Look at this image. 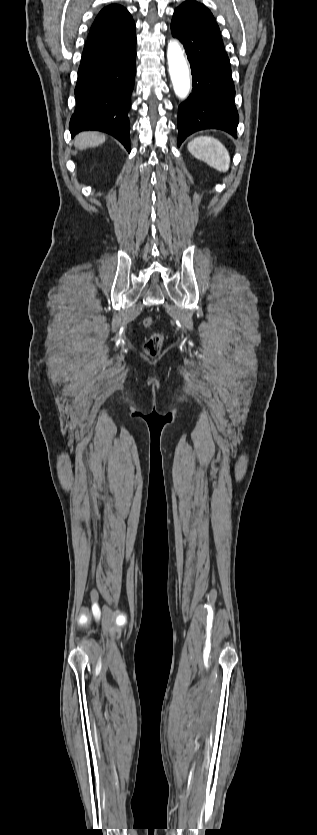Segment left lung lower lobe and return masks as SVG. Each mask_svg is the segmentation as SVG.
<instances>
[{"label": "left lung lower lobe", "mask_w": 317, "mask_h": 835, "mask_svg": "<svg viewBox=\"0 0 317 835\" xmlns=\"http://www.w3.org/2000/svg\"><path fill=\"white\" fill-rule=\"evenodd\" d=\"M171 31L184 45L192 69L193 90L178 108V146L190 134L220 129L236 136L238 112L229 58L212 13L195 0L174 12Z\"/></svg>", "instance_id": "left-lung-lower-lobe-1"}]
</instances>
